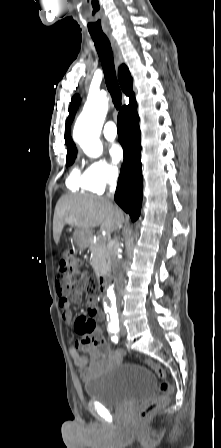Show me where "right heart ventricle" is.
<instances>
[{
  "mask_svg": "<svg viewBox=\"0 0 221 448\" xmlns=\"http://www.w3.org/2000/svg\"><path fill=\"white\" fill-rule=\"evenodd\" d=\"M66 184L73 191L86 190L83 175L77 167L73 168L69 174Z\"/></svg>",
  "mask_w": 221,
  "mask_h": 448,
  "instance_id": "e07e8e85",
  "label": "right heart ventricle"
}]
</instances>
